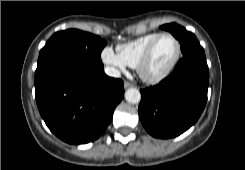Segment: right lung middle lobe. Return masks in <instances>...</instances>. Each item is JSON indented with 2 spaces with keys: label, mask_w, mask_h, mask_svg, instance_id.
I'll list each match as a JSON object with an SVG mask.
<instances>
[{
  "label": "right lung middle lobe",
  "mask_w": 245,
  "mask_h": 170,
  "mask_svg": "<svg viewBox=\"0 0 245 170\" xmlns=\"http://www.w3.org/2000/svg\"><path fill=\"white\" fill-rule=\"evenodd\" d=\"M106 43L99 36L80 30L56 32L40 51L35 78L54 64L67 59L101 62V51Z\"/></svg>",
  "instance_id": "dd1d6c3e"
}]
</instances>
